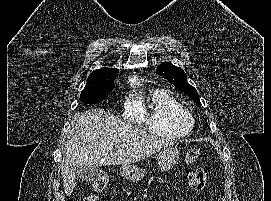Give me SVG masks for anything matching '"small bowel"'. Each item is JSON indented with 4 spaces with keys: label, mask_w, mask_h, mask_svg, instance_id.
<instances>
[{
    "label": "small bowel",
    "mask_w": 271,
    "mask_h": 201,
    "mask_svg": "<svg viewBox=\"0 0 271 201\" xmlns=\"http://www.w3.org/2000/svg\"><path fill=\"white\" fill-rule=\"evenodd\" d=\"M207 183L208 175L203 169H197L188 176V184L194 190H203Z\"/></svg>",
    "instance_id": "c3829d8e"
}]
</instances>
